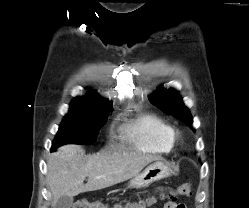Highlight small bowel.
Here are the masks:
<instances>
[{
    "instance_id": "1",
    "label": "small bowel",
    "mask_w": 249,
    "mask_h": 208,
    "mask_svg": "<svg viewBox=\"0 0 249 208\" xmlns=\"http://www.w3.org/2000/svg\"><path fill=\"white\" fill-rule=\"evenodd\" d=\"M169 201L164 205V208H180L182 203L176 202L173 194H169Z\"/></svg>"
}]
</instances>
